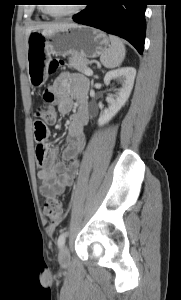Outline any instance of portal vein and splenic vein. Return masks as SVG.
<instances>
[{
  "instance_id": "portal-vein-and-splenic-vein-1",
  "label": "portal vein and splenic vein",
  "mask_w": 181,
  "mask_h": 300,
  "mask_svg": "<svg viewBox=\"0 0 181 300\" xmlns=\"http://www.w3.org/2000/svg\"><path fill=\"white\" fill-rule=\"evenodd\" d=\"M85 75H87V76H92V75H93V71H92L91 69H87V70L85 71Z\"/></svg>"
}]
</instances>
